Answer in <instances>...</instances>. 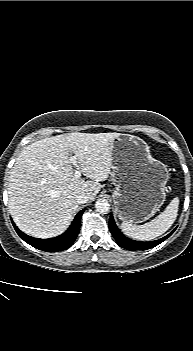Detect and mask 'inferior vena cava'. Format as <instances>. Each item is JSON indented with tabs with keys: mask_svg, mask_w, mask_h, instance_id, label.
<instances>
[{
	"mask_svg": "<svg viewBox=\"0 0 193 351\" xmlns=\"http://www.w3.org/2000/svg\"><path fill=\"white\" fill-rule=\"evenodd\" d=\"M89 197L86 192H81L76 196V202L78 204H84L88 201Z\"/></svg>",
	"mask_w": 193,
	"mask_h": 351,
	"instance_id": "1",
	"label": "inferior vena cava"
}]
</instances>
